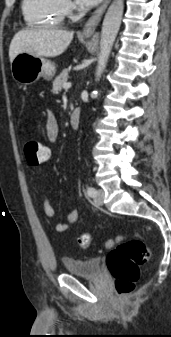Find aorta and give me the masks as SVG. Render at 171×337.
I'll return each instance as SVG.
<instances>
[{
    "label": "aorta",
    "instance_id": "1",
    "mask_svg": "<svg viewBox=\"0 0 171 337\" xmlns=\"http://www.w3.org/2000/svg\"><path fill=\"white\" fill-rule=\"evenodd\" d=\"M124 11V0H113L109 6L101 30L100 52L96 69V81H99L106 67L109 55L118 34ZM93 93H96L95 91Z\"/></svg>",
    "mask_w": 171,
    "mask_h": 337
}]
</instances>
